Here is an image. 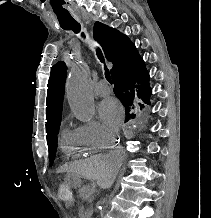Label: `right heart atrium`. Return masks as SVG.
I'll use <instances>...</instances> for the list:
<instances>
[{
    "mask_svg": "<svg viewBox=\"0 0 211 218\" xmlns=\"http://www.w3.org/2000/svg\"><path fill=\"white\" fill-rule=\"evenodd\" d=\"M74 131L81 141L96 148L106 147L113 140L112 133L94 118L80 123Z\"/></svg>",
    "mask_w": 211,
    "mask_h": 218,
    "instance_id": "1",
    "label": "right heart atrium"
}]
</instances>
